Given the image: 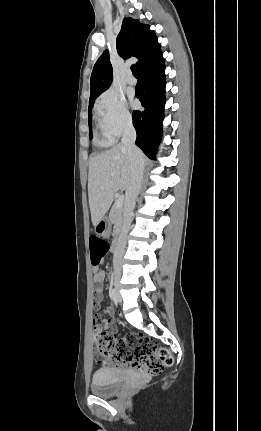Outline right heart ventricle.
<instances>
[{
  "label": "right heart ventricle",
  "mask_w": 261,
  "mask_h": 431,
  "mask_svg": "<svg viewBox=\"0 0 261 431\" xmlns=\"http://www.w3.org/2000/svg\"><path fill=\"white\" fill-rule=\"evenodd\" d=\"M96 142H97V144L99 145V146H102V147H108V146H110V145H112L113 144V142H114V138L113 137H111L110 135H108L103 129H102V131L99 133V134H97V136H96Z\"/></svg>",
  "instance_id": "right-heart-ventricle-1"
}]
</instances>
